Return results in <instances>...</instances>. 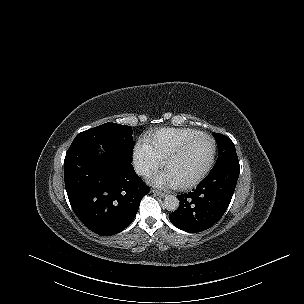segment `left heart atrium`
<instances>
[{"label": "left heart atrium", "instance_id": "1", "mask_svg": "<svg viewBox=\"0 0 304 304\" xmlns=\"http://www.w3.org/2000/svg\"><path fill=\"white\" fill-rule=\"evenodd\" d=\"M150 183L155 186L163 187V188H173L176 187V182L168 175L167 172H162L159 174H155L150 177Z\"/></svg>", "mask_w": 304, "mask_h": 304}]
</instances>
